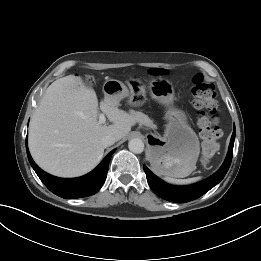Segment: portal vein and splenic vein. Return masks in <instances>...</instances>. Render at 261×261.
Here are the masks:
<instances>
[{
    "mask_svg": "<svg viewBox=\"0 0 261 261\" xmlns=\"http://www.w3.org/2000/svg\"><path fill=\"white\" fill-rule=\"evenodd\" d=\"M105 121H106L105 115H104L103 113H101V114L99 115V122H100L101 124H103V123H105Z\"/></svg>",
    "mask_w": 261,
    "mask_h": 261,
    "instance_id": "18ae733b",
    "label": "portal vein and splenic vein"
}]
</instances>
